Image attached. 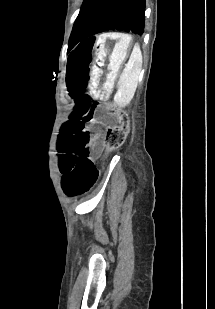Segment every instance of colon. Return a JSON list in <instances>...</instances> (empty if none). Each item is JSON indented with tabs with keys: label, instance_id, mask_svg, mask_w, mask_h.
<instances>
[{
	"label": "colon",
	"instance_id": "obj_1",
	"mask_svg": "<svg viewBox=\"0 0 215 309\" xmlns=\"http://www.w3.org/2000/svg\"><path fill=\"white\" fill-rule=\"evenodd\" d=\"M118 121L108 127L105 140L111 150L118 149L124 143L128 132V114L122 109H117Z\"/></svg>",
	"mask_w": 215,
	"mask_h": 309
}]
</instances>
